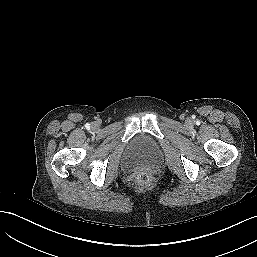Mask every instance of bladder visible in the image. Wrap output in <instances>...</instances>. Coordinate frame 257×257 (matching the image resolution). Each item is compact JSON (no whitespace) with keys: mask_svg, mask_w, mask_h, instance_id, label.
<instances>
[{"mask_svg":"<svg viewBox=\"0 0 257 257\" xmlns=\"http://www.w3.org/2000/svg\"><path fill=\"white\" fill-rule=\"evenodd\" d=\"M160 156V148L155 139L147 133H138L127 146L125 160L133 166L152 165Z\"/></svg>","mask_w":257,"mask_h":257,"instance_id":"bladder-1","label":"bladder"}]
</instances>
